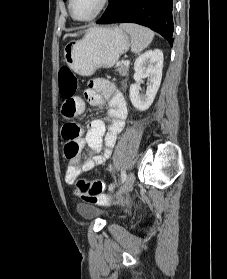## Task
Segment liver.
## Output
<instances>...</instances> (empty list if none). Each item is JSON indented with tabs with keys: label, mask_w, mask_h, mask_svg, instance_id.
<instances>
[{
	"label": "liver",
	"mask_w": 227,
	"mask_h": 279,
	"mask_svg": "<svg viewBox=\"0 0 227 279\" xmlns=\"http://www.w3.org/2000/svg\"><path fill=\"white\" fill-rule=\"evenodd\" d=\"M68 36H71V34H66V35L64 36V38H66V37H68Z\"/></svg>",
	"instance_id": "1"
}]
</instances>
